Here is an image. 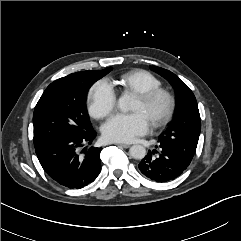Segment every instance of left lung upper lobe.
Instances as JSON below:
<instances>
[{
    "label": "left lung upper lobe",
    "instance_id": "left-lung-upper-lobe-1",
    "mask_svg": "<svg viewBox=\"0 0 241 241\" xmlns=\"http://www.w3.org/2000/svg\"><path fill=\"white\" fill-rule=\"evenodd\" d=\"M152 69L169 81L178 99L176 117L159 136L158 142L172 148L185 160L191 162L201 130L196 98L189 87L171 71L157 66H152Z\"/></svg>",
    "mask_w": 241,
    "mask_h": 241
}]
</instances>
